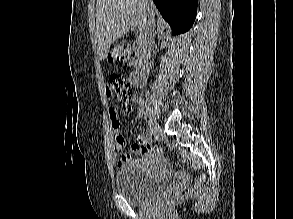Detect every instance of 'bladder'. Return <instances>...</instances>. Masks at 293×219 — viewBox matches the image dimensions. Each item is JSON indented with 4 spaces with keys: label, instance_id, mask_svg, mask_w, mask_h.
Wrapping results in <instances>:
<instances>
[{
    "label": "bladder",
    "instance_id": "bladder-1",
    "mask_svg": "<svg viewBox=\"0 0 293 219\" xmlns=\"http://www.w3.org/2000/svg\"><path fill=\"white\" fill-rule=\"evenodd\" d=\"M168 179L152 176L136 165L124 166L115 172L117 192L132 204H141L164 190Z\"/></svg>",
    "mask_w": 293,
    "mask_h": 219
}]
</instances>
